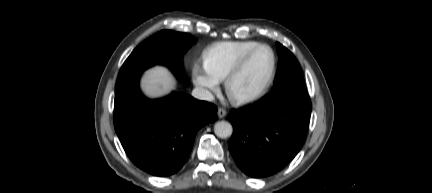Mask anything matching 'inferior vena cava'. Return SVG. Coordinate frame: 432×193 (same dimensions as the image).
<instances>
[{
    "label": "inferior vena cava",
    "mask_w": 432,
    "mask_h": 193,
    "mask_svg": "<svg viewBox=\"0 0 432 193\" xmlns=\"http://www.w3.org/2000/svg\"><path fill=\"white\" fill-rule=\"evenodd\" d=\"M192 96L196 99H199V100H205V101H213L214 100L213 94L209 90L201 88V87L194 88L192 91Z\"/></svg>",
    "instance_id": "inferior-vena-cava-1"
}]
</instances>
